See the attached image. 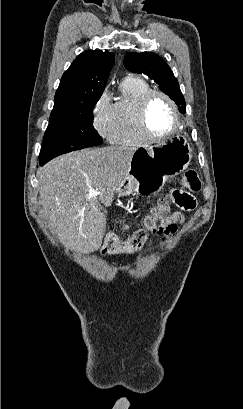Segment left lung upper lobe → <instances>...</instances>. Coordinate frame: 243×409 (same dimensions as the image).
I'll return each mask as SVG.
<instances>
[{"mask_svg": "<svg viewBox=\"0 0 243 409\" xmlns=\"http://www.w3.org/2000/svg\"><path fill=\"white\" fill-rule=\"evenodd\" d=\"M124 65L132 72L144 73L153 79L160 85L162 91L175 101L180 111L186 112L185 100L178 81L160 56L153 52L130 53L124 58Z\"/></svg>", "mask_w": 243, "mask_h": 409, "instance_id": "obj_1", "label": "left lung upper lobe"}]
</instances>
